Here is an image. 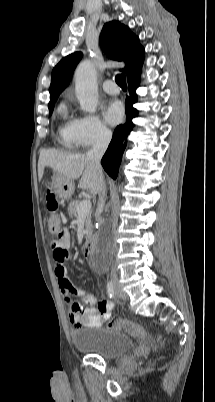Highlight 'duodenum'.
Instances as JSON below:
<instances>
[{
  "instance_id": "410a0bca",
  "label": "duodenum",
  "mask_w": 215,
  "mask_h": 402,
  "mask_svg": "<svg viewBox=\"0 0 215 402\" xmlns=\"http://www.w3.org/2000/svg\"><path fill=\"white\" fill-rule=\"evenodd\" d=\"M95 249H96L95 239H89L83 245V253L86 256H91L95 252ZM102 268L103 267H101V269Z\"/></svg>"
}]
</instances>
